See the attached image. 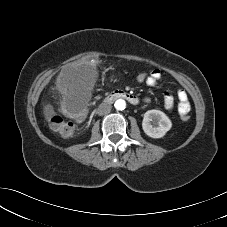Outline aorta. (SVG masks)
I'll return each instance as SVG.
<instances>
[{"label":"aorta","mask_w":227,"mask_h":227,"mask_svg":"<svg viewBox=\"0 0 227 227\" xmlns=\"http://www.w3.org/2000/svg\"><path fill=\"white\" fill-rule=\"evenodd\" d=\"M114 107L117 110H124L126 108V101L123 99H118L115 101Z\"/></svg>","instance_id":"aorta-1"}]
</instances>
